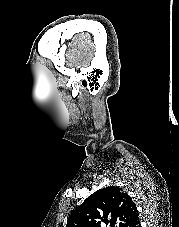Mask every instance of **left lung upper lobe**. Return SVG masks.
Segmentation results:
<instances>
[{
	"label": "left lung upper lobe",
	"instance_id": "5c2ea615",
	"mask_svg": "<svg viewBox=\"0 0 179 227\" xmlns=\"http://www.w3.org/2000/svg\"><path fill=\"white\" fill-rule=\"evenodd\" d=\"M139 227V213L132 198L119 187L99 189L70 215L66 227Z\"/></svg>",
	"mask_w": 179,
	"mask_h": 227
}]
</instances>
